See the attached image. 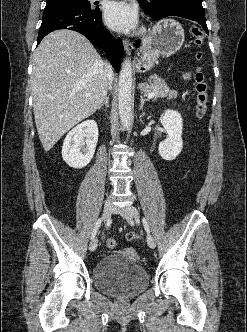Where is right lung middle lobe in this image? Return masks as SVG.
Here are the masks:
<instances>
[{
    "instance_id": "dd1d6c3e",
    "label": "right lung middle lobe",
    "mask_w": 247,
    "mask_h": 332,
    "mask_svg": "<svg viewBox=\"0 0 247 332\" xmlns=\"http://www.w3.org/2000/svg\"><path fill=\"white\" fill-rule=\"evenodd\" d=\"M64 5L77 6L85 9H93L91 8V4L88 0H46V7Z\"/></svg>"
}]
</instances>
